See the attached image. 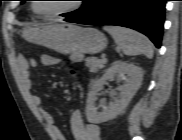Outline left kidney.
<instances>
[{"mask_svg": "<svg viewBox=\"0 0 182 140\" xmlns=\"http://www.w3.org/2000/svg\"><path fill=\"white\" fill-rule=\"evenodd\" d=\"M116 75H127L128 80L126 83L118 87L119 99L109 103V106H103L101 112L97 111L95 101L98 92L103 88L107 80L114 78ZM143 79V71L131 63L114 62L109 67L103 76L94 81L91 91L87 97L86 116L90 123H103L108 120L114 119L127 107L139 87Z\"/></svg>", "mask_w": 182, "mask_h": 140, "instance_id": "5707ae66", "label": "left kidney"}]
</instances>
